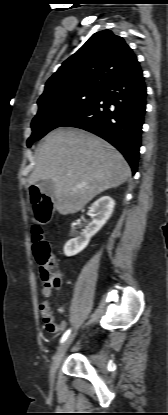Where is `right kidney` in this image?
I'll list each match as a JSON object with an SVG mask.
<instances>
[{
  "label": "right kidney",
  "instance_id": "1",
  "mask_svg": "<svg viewBox=\"0 0 168 415\" xmlns=\"http://www.w3.org/2000/svg\"><path fill=\"white\" fill-rule=\"evenodd\" d=\"M115 201L109 196H104L95 201L89 208L88 215L92 222L86 227L80 236L73 238L64 245V254L68 257L80 253L86 248L90 239L105 225L111 217Z\"/></svg>",
  "mask_w": 168,
  "mask_h": 415
}]
</instances>
